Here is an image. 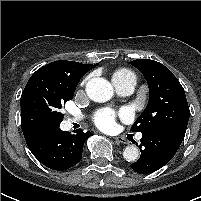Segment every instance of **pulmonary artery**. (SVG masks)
Wrapping results in <instances>:
<instances>
[{
    "instance_id": "obj_1",
    "label": "pulmonary artery",
    "mask_w": 201,
    "mask_h": 201,
    "mask_svg": "<svg viewBox=\"0 0 201 201\" xmlns=\"http://www.w3.org/2000/svg\"><path fill=\"white\" fill-rule=\"evenodd\" d=\"M136 85V79L130 78L126 81L120 82V83H114V86L117 90V92L121 95H129L134 91ZM78 118H72L70 119L71 122L77 121ZM142 135L139 134L138 138H141Z\"/></svg>"
}]
</instances>
